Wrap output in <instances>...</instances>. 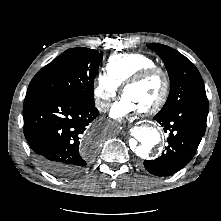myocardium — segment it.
<instances>
[{
  "mask_svg": "<svg viewBox=\"0 0 221 221\" xmlns=\"http://www.w3.org/2000/svg\"><path fill=\"white\" fill-rule=\"evenodd\" d=\"M160 77L162 80V92L159 98L150 106L139 110L141 114H153L158 112L167 102L169 93H170V80L168 74L158 66H152L145 69H142L138 73L134 74L123 84V93H125L126 89L130 86L139 84L143 81H146L153 77Z\"/></svg>",
  "mask_w": 221,
  "mask_h": 221,
  "instance_id": "myocardium-1",
  "label": "myocardium"
}]
</instances>
